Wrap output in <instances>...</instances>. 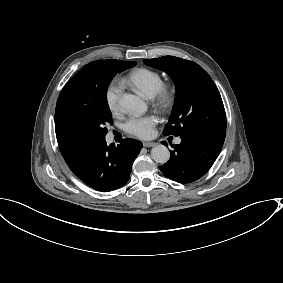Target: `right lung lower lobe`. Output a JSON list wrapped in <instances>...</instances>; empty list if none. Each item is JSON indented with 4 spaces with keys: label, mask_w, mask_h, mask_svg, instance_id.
Instances as JSON below:
<instances>
[{
    "label": "right lung lower lobe",
    "mask_w": 283,
    "mask_h": 283,
    "mask_svg": "<svg viewBox=\"0 0 283 283\" xmlns=\"http://www.w3.org/2000/svg\"><path fill=\"white\" fill-rule=\"evenodd\" d=\"M142 148L134 139H124L117 147L97 141L81 158L70 164L71 171L99 191H112L129 180L132 164Z\"/></svg>",
    "instance_id": "obj_1"
}]
</instances>
